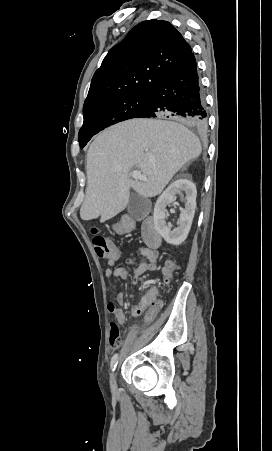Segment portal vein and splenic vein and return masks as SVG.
<instances>
[{"label":"portal vein and splenic vein","instance_id":"portal-vein-and-splenic-vein-1","mask_svg":"<svg viewBox=\"0 0 272 451\" xmlns=\"http://www.w3.org/2000/svg\"><path fill=\"white\" fill-rule=\"evenodd\" d=\"M131 176L134 180H143V182H148V178H146L144 174H141L139 170H133V172H131Z\"/></svg>","mask_w":272,"mask_h":451}]
</instances>
